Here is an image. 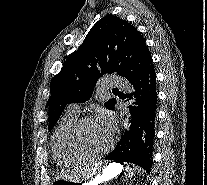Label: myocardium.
<instances>
[{"label":"myocardium","mask_w":207,"mask_h":185,"mask_svg":"<svg viewBox=\"0 0 207 185\" xmlns=\"http://www.w3.org/2000/svg\"><path fill=\"white\" fill-rule=\"evenodd\" d=\"M95 118L93 116H84L79 118L72 126L70 134H69V141L72 146V148L80 152L82 154H85L90 157H103L107 155L110 150L114 147L115 141H116V134L115 132L112 133L111 142L109 146L102 150V151H93L89 149L81 140V130L84 127L85 124L88 122L94 120Z\"/></svg>","instance_id":"myocardium-1"}]
</instances>
